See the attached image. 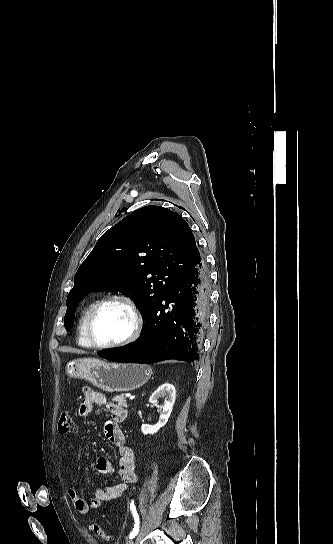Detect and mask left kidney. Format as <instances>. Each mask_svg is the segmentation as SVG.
Here are the masks:
<instances>
[{
  "label": "left kidney",
  "mask_w": 333,
  "mask_h": 544,
  "mask_svg": "<svg viewBox=\"0 0 333 544\" xmlns=\"http://www.w3.org/2000/svg\"><path fill=\"white\" fill-rule=\"evenodd\" d=\"M176 397V389L172 384H162L149 398V402L156 404L159 398H165L162 406L160 419L156 425L142 424L141 431L144 435L155 434L160 428L166 425L172 413L173 405Z\"/></svg>",
  "instance_id": "5707ae66"
}]
</instances>
